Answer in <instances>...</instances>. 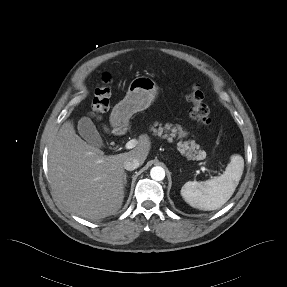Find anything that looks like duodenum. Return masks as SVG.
Returning <instances> with one entry per match:
<instances>
[{"mask_svg":"<svg viewBox=\"0 0 287 287\" xmlns=\"http://www.w3.org/2000/svg\"><path fill=\"white\" fill-rule=\"evenodd\" d=\"M127 127L128 125L126 123H118L114 126L118 135H122L126 131Z\"/></svg>","mask_w":287,"mask_h":287,"instance_id":"duodenum-1","label":"duodenum"}]
</instances>
